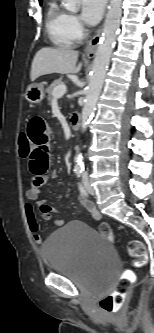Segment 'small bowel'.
Returning a JSON list of instances; mask_svg holds the SVG:
<instances>
[{
    "label": "small bowel",
    "instance_id": "obj_1",
    "mask_svg": "<svg viewBox=\"0 0 154 333\" xmlns=\"http://www.w3.org/2000/svg\"><path fill=\"white\" fill-rule=\"evenodd\" d=\"M26 134L32 143V151L29 159V169L33 174L30 186L26 192V196L30 201H35L42 218L56 226H63L65 222L55 218L59 212L50 206L45 200L41 199L42 187L51 178H57V171H49L50 166V139L51 130L48 124L40 117L30 119ZM80 202L88 210L94 220H100L101 214L96 209L93 202L80 196ZM26 218L30 231L33 234L35 242L39 245L44 243V238L39 233V224L35 218L34 210L31 204L25 206Z\"/></svg>",
    "mask_w": 154,
    "mask_h": 333
}]
</instances>
